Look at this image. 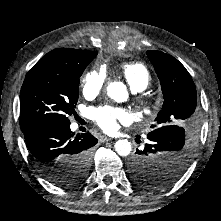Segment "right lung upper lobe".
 <instances>
[{"label": "right lung upper lobe", "mask_w": 221, "mask_h": 221, "mask_svg": "<svg viewBox=\"0 0 221 221\" xmlns=\"http://www.w3.org/2000/svg\"><path fill=\"white\" fill-rule=\"evenodd\" d=\"M97 55L96 51H83L69 48H58L52 50L42 57L32 68L36 70L57 64H72L82 62L93 55Z\"/></svg>", "instance_id": "1"}]
</instances>
